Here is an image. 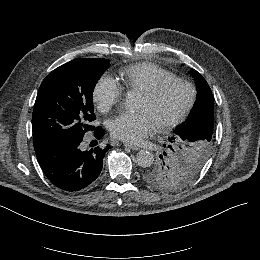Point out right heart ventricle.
<instances>
[{"label":"right heart ventricle","instance_id":"e07e8e85","mask_svg":"<svg viewBox=\"0 0 260 260\" xmlns=\"http://www.w3.org/2000/svg\"><path fill=\"white\" fill-rule=\"evenodd\" d=\"M157 75L158 81L174 77L173 73L154 64H136L122 73L123 86L131 91L141 93L153 87Z\"/></svg>","mask_w":260,"mask_h":260}]
</instances>
